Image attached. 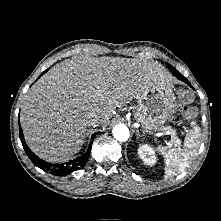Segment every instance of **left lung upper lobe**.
I'll return each instance as SVG.
<instances>
[{
  "instance_id": "obj_1",
  "label": "left lung upper lobe",
  "mask_w": 221,
  "mask_h": 221,
  "mask_svg": "<svg viewBox=\"0 0 221 221\" xmlns=\"http://www.w3.org/2000/svg\"><path fill=\"white\" fill-rule=\"evenodd\" d=\"M167 67L171 70V72L174 74V73H178V71L173 67L171 66L170 64H167Z\"/></svg>"
}]
</instances>
